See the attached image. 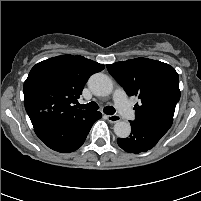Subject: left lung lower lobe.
Instances as JSON below:
<instances>
[{
  "label": "left lung lower lobe",
  "instance_id": "obj_1",
  "mask_svg": "<svg viewBox=\"0 0 201 201\" xmlns=\"http://www.w3.org/2000/svg\"><path fill=\"white\" fill-rule=\"evenodd\" d=\"M132 132L125 139H117L118 145L129 153L138 154L152 149L169 128L155 124L130 121Z\"/></svg>",
  "mask_w": 201,
  "mask_h": 201
}]
</instances>
